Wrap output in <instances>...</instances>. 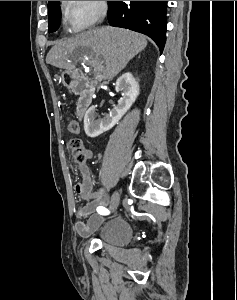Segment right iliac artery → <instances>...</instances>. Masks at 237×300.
I'll list each match as a JSON object with an SVG mask.
<instances>
[{
    "instance_id": "82829eb1",
    "label": "right iliac artery",
    "mask_w": 237,
    "mask_h": 300,
    "mask_svg": "<svg viewBox=\"0 0 237 300\" xmlns=\"http://www.w3.org/2000/svg\"><path fill=\"white\" fill-rule=\"evenodd\" d=\"M97 212L104 215V214L108 213L109 210L106 209L105 207L99 206V207H97Z\"/></svg>"
}]
</instances>
